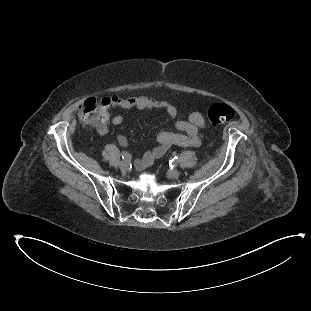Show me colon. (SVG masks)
I'll return each instance as SVG.
<instances>
[{
    "label": "colon",
    "instance_id": "colon-1",
    "mask_svg": "<svg viewBox=\"0 0 311 311\" xmlns=\"http://www.w3.org/2000/svg\"><path fill=\"white\" fill-rule=\"evenodd\" d=\"M112 104L113 101L108 98L87 99L79 107V118L85 124L104 127ZM235 116L234 108L224 103H215L208 110V118L213 125L231 121Z\"/></svg>",
    "mask_w": 311,
    "mask_h": 311
}]
</instances>
